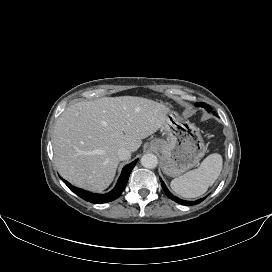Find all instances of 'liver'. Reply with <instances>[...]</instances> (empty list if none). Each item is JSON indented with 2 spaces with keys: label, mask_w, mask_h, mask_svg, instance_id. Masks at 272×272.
Returning a JSON list of instances; mask_svg holds the SVG:
<instances>
[{
  "label": "liver",
  "mask_w": 272,
  "mask_h": 272,
  "mask_svg": "<svg viewBox=\"0 0 272 272\" xmlns=\"http://www.w3.org/2000/svg\"><path fill=\"white\" fill-rule=\"evenodd\" d=\"M169 109L135 97H105L66 108L53 132L55 165L72 184L101 192L114 179L118 149L135 152L142 139L157 132Z\"/></svg>",
  "instance_id": "obj_1"
}]
</instances>
